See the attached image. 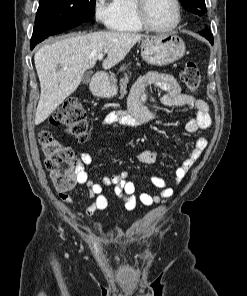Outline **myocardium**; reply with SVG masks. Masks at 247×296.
<instances>
[{"label": "myocardium", "mask_w": 247, "mask_h": 296, "mask_svg": "<svg viewBox=\"0 0 247 296\" xmlns=\"http://www.w3.org/2000/svg\"><path fill=\"white\" fill-rule=\"evenodd\" d=\"M172 3L174 4L175 7V20L174 22L165 28H158L152 25L147 17V4L148 0H134V13L136 20L138 23L142 26V28L151 31V32H156V33H168L173 31L178 27V25L181 22V4L179 0H172Z\"/></svg>", "instance_id": "f54148a6"}]
</instances>
